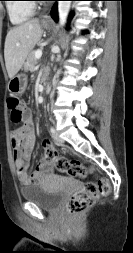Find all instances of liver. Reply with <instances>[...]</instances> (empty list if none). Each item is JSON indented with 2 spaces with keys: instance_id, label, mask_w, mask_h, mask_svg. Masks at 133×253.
Listing matches in <instances>:
<instances>
[{
  "instance_id": "obj_1",
  "label": "liver",
  "mask_w": 133,
  "mask_h": 253,
  "mask_svg": "<svg viewBox=\"0 0 133 253\" xmlns=\"http://www.w3.org/2000/svg\"><path fill=\"white\" fill-rule=\"evenodd\" d=\"M42 36L38 19L22 23L11 29L4 46L5 65L9 78H13L23 66L26 57Z\"/></svg>"
}]
</instances>
